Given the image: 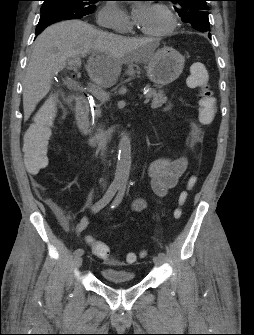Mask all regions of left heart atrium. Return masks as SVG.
I'll return each mask as SVG.
<instances>
[{"label":"left heart atrium","mask_w":254,"mask_h":335,"mask_svg":"<svg viewBox=\"0 0 254 335\" xmlns=\"http://www.w3.org/2000/svg\"><path fill=\"white\" fill-rule=\"evenodd\" d=\"M152 6L148 3H138L132 11V18L138 26H142L148 18Z\"/></svg>","instance_id":"39dd6f15"}]
</instances>
